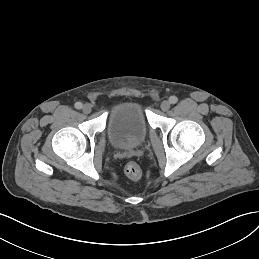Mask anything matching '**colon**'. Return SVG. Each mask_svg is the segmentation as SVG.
<instances>
[{"mask_svg": "<svg viewBox=\"0 0 259 259\" xmlns=\"http://www.w3.org/2000/svg\"><path fill=\"white\" fill-rule=\"evenodd\" d=\"M125 174L132 180H139L142 176L140 166L136 162H129L125 166Z\"/></svg>", "mask_w": 259, "mask_h": 259, "instance_id": "obj_1", "label": "colon"}]
</instances>
